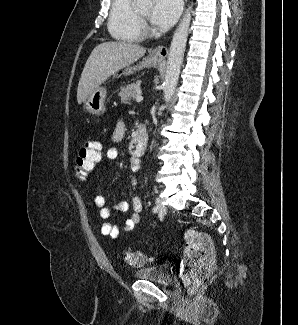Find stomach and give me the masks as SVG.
<instances>
[{"label": "stomach", "instance_id": "0dacf381", "mask_svg": "<svg viewBox=\"0 0 298 325\" xmlns=\"http://www.w3.org/2000/svg\"><path fill=\"white\" fill-rule=\"evenodd\" d=\"M163 62H165V58H155V56L148 54V56H144V58H141V60L136 62V64L127 66V68H124L122 72L115 74L112 80H117V78H121V76H131V74H135V72L143 70V68H157V66L163 64ZM107 94V86H99V88H96L92 94H88L86 100H83L82 102L85 112L95 114V116H101V114H104L106 110L105 102Z\"/></svg>", "mask_w": 298, "mask_h": 325}]
</instances>
